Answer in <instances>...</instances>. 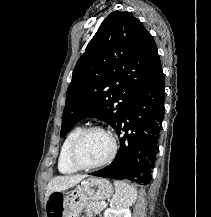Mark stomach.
<instances>
[{"label":"stomach","mask_w":211,"mask_h":217,"mask_svg":"<svg viewBox=\"0 0 211 217\" xmlns=\"http://www.w3.org/2000/svg\"><path fill=\"white\" fill-rule=\"evenodd\" d=\"M113 193L112 184L105 178L90 177L73 190L67 192L63 202L62 217H79L89 201L109 198Z\"/></svg>","instance_id":"1"}]
</instances>
